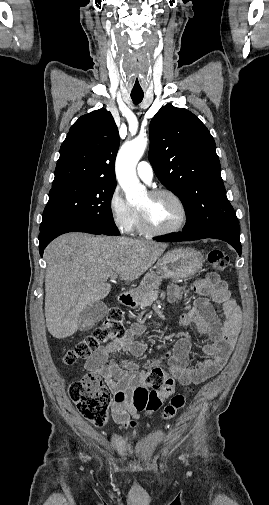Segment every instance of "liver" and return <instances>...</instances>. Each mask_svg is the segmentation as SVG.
I'll return each instance as SVG.
<instances>
[{"label":"liver","mask_w":269,"mask_h":505,"mask_svg":"<svg viewBox=\"0 0 269 505\" xmlns=\"http://www.w3.org/2000/svg\"><path fill=\"white\" fill-rule=\"evenodd\" d=\"M165 245L128 237L67 233L44 251L45 318L50 334L58 339L79 328L81 312L111 291L107 283L119 275L132 282L163 254Z\"/></svg>","instance_id":"liver-1"}]
</instances>
